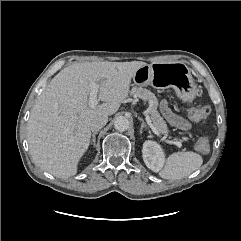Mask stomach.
<instances>
[{
	"label": "stomach",
	"instance_id": "obj_1",
	"mask_svg": "<svg viewBox=\"0 0 241 241\" xmlns=\"http://www.w3.org/2000/svg\"><path fill=\"white\" fill-rule=\"evenodd\" d=\"M135 85H151L156 89L173 88L177 95L185 100H192L197 94V87L188 66L181 62H156L139 68L133 76Z\"/></svg>",
	"mask_w": 241,
	"mask_h": 241
}]
</instances>
